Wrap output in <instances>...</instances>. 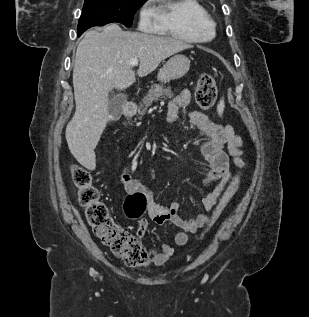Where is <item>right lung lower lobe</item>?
I'll return each mask as SVG.
<instances>
[{
  "instance_id": "98d812e1",
  "label": "right lung lower lobe",
  "mask_w": 309,
  "mask_h": 317,
  "mask_svg": "<svg viewBox=\"0 0 309 317\" xmlns=\"http://www.w3.org/2000/svg\"><path fill=\"white\" fill-rule=\"evenodd\" d=\"M84 31H80L78 32V37L83 33Z\"/></svg>"
}]
</instances>
